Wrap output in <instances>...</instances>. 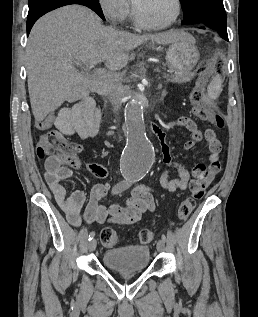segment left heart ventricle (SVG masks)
Returning <instances> with one entry per match:
<instances>
[{"instance_id":"left-heart-ventricle-1","label":"left heart ventricle","mask_w":258,"mask_h":317,"mask_svg":"<svg viewBox=\"0 0 258 317\" xmlns=\"http://www.w3.org/2000/svg\"><path fill=\"white\" fill-rule=\"evenodd\" d=\"M175 4L171 0H153L144 3L140 9V19L147 28L161 26L175 15Z\"/></svg>"}]
</instances>
